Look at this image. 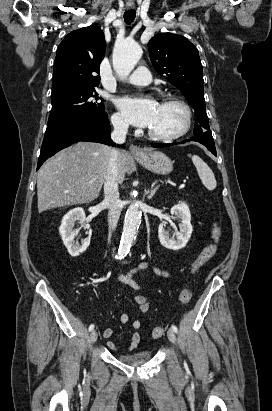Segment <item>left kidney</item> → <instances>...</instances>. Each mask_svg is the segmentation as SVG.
I'll list each match as a JSON object with an SVG mask.
<instances>
[{"mask_svg":"<svg viewBox=\"0 0 272 411\" xmlns=\"http://www.w3.org/2000/svg\"><path fill=\"white\" fill-rule=\"evenodd\" d=\"M171 215L181 220L179 231L171 237L169 231L165 230L166 222H162L158 227V237L162 246L171 250H179L186 246L192 234L191 214L186 203L181 202L171 208Z\"/></svg>","mask_w":272,"mask_h":411,"instance_id":"obj_1","label":"left kidney"}]
</instances>
